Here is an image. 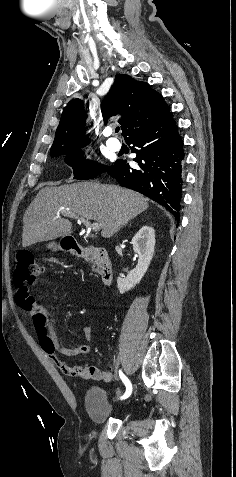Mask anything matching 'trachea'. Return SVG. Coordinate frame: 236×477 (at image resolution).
<instances>
[{
    "instance_id": "obj_1",
    "label": "trachea",
    "mask_w": 236,
    "mask_h": 477,
    "mask_svg": "<svg viewBox=\"0 0 236 477\" xmlns=\"http://www.w3.org/2000/svg\"><path fill=\"white\" fill-rule=\"evenodd\" d=\"M119 130H120V128H119V127H116L115 132L118 133Z\"/></svg>"
}]
</instances>
